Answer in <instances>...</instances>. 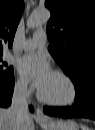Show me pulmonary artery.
<instances>
[{
	"label": "pulmonary artery",
	"mask_w": 95,
	"mask_h": 130,
	"mask_svg": "<svg viewBox=\"0 0 95 130\" xmlns=\"http://www.w3.org/2000/svg\"><path fill=\"white\" fill-rule=\"evenodd\" d=\"M46 33L44 31H36L31 39L24 41L21 44V50L30 51L38 47L44 46L46 43Z\"/></svg>",
	"instance_id": "1"
}]
</instances>
